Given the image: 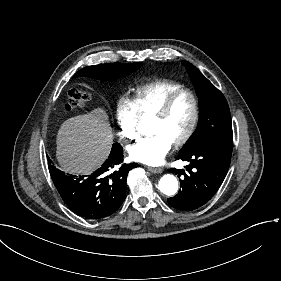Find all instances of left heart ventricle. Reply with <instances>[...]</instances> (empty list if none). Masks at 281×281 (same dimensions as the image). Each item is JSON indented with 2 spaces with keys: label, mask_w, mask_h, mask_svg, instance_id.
<instances>
[{
  "label": "left heart ventricle",
  "mask_w": 281,
  "mask_h": 281,
  "mask_svg": "<svg viewBox=\"0 0 281 281\" xmlns=\"http://www.w3.org/2000/svg\"><path fill=\"white\" fill-rule=\"evenodd\" d=\"M192 104L187 96L178 98L161 119L147 120L148 136L161 133L171 142L181 137L191 120Z\"/></svg>",
  "instance_id": "b2bd125f"
}]
</instances>
